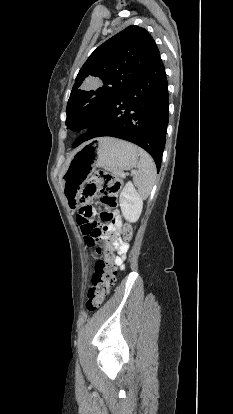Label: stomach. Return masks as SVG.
<instances>
[{"label":"stomach","mask_w":233,"mask_h":414,"mask_svg":"<svg viewBox=\"0 0 233 414\" xmlns=\"http://www.w3.org/2000/svg\"><path fill=\"white\" fill-rule=\"evenodd\" d=\"M138 148L114 138H96L84 144L70 160L63 174V192L68 205L74 208L88 175L97 167L112 172L129 170L138 164Z\"/></svg>","instance_id":"obj_1"}]
</instances>
